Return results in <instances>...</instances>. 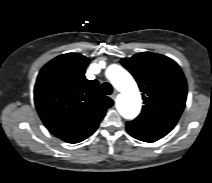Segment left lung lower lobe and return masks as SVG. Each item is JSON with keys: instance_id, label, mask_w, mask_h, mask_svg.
I'll return each instance as SVG.
<instances>
[{"instance_id": "0a47b994", "label": "left lung lower lobe", "mask_w": 212, "mask_h": 183, "mask_svg": "<svg viewBox=\"0 0 212 183\" xmlns=\"http://www.w3.org/2000/svg\"><path fill=\"white\" fill-rule=\"evenodd\" d=\"M126 128L131 136L144 142H155L164 137V135L161 134L150 133L133 127H126Z\"/></svg>"}]
</instances>
